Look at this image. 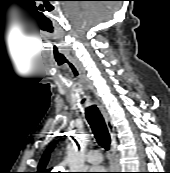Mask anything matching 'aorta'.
Segmentation results:
<instances>
[{"instance_id":"obj_1","label":"aorta","mask_w":170,"mask_h":173,"mask_svg":"<svg viewBox=\"0 0 170 173\" xmlns=\"http://www.w3.org/2000/svg\"><path fill=\"white\" fill-rule=\"evenodd\" d=\"M78 141L82 146L87 142L84 135L79 136ZM67 162L70 172H83L85 169V156L83 151H78L75 148H71L67 154Z\"/></svg>"}]
</instances>
